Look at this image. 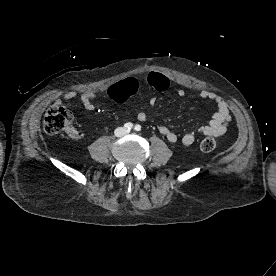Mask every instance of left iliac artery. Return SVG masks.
Returning <instances> with one entry per match:
<instances>
[{"label":"left iliac artery","instance_id":"44dca946","mask_svg":"<svg viewBox=\"0 0 276 276\" xmlns=\"http://www.w3.org/2000/svg\"><path fill=\"white\" fill-rule=\"evenodd\" d=\"M134 129H135V131H140V130H141V126L137 124V125L134 127Z\"/></svg>","mask_w":276,"mask_h":276}]
</instances>
